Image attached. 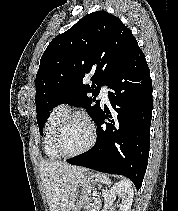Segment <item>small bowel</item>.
Masks as SVG:
<instances>
[{"label": "small bowel", "mask_w": 178, "mask_h": 211, "mask_svg": "<svg viewBox=\"0 0 178 211\" xmlns=\"http://www.w3.org/2000/svg\"><path fill=\"white\" fill-rule=\"evenodd\" d=\"M88 211H98V209H92V210H88Z\"/></svg>", "instance_id": "small-bowel-1"}]
</instances>
